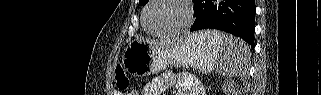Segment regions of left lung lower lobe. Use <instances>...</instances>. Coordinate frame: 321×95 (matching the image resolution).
<instances>
[{
  "label": "left lung lower lobe",
  "instance_id": "1",
  "mask_svg": "<svg viewBox=\"0 0 321 95\" xmlns=\"http://www.w3.org/2000/svg\"><path fill=\"white\" fill-rule=\"evenodd\" d=\"M254 0H195L191 31L219 29L244 39L254 49Z\"/></svg>",
  "mask_w": 321,
  "mask_h": 95
}]
</instances>
